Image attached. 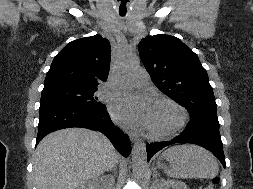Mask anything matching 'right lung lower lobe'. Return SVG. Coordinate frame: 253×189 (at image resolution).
<instances>
[{
	"label": "right lung lower lobe",
	"instance_id": "obj_1",
	"mask_svg": "<svg viewBox=\"0 0 253 189\" xmlns=\"http://www.w3.org/2000/svg\"><path fill=\"white\" fill-rule=\"evenodd\" d=\"M39 112L36 145L52 131L68 127H82L102 132L124 157L131 153L128 136L113 124L105 109L70 104H41Z\"/></svg>",
	"mask_w": 253,
	"mask_h": 189
}]
</instances>
